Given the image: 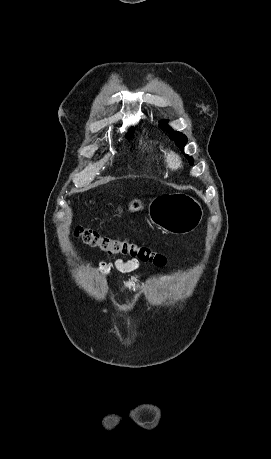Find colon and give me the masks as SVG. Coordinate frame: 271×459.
Listing matches in <instances>:
<instances>
[{
  "mask_svg": "<svg viewBox=\"0 0 271 459\" xmlns=\"http://www.w3.org/2000/svg\"><path fill=\"white\" fill-rule=\"evenodd\" d=\"M74 235L86 245L110 255L129 256L157 266H163L166 263L163 255L154 252L145 244L130 239L112 238L97 230L82 227L75 228Z\"/></svg>",
  "mask_w": 271,
  "mask_h": 459,
  "instance_id": "obj_1",
  "label": "colon"
}]
</instances>
